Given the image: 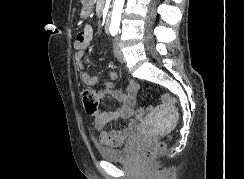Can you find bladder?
<instances>
[{
    "label": "bladder",
    "mask_w": 244,
    "mask_h": 179,
    "mask_svg": "<svg viewBox=\"0 0 244 179\" xmlns=\"http://www.w3.org/2000/svg\"><path fill=\"white\" fill-rule=\"evenodd\" d=\"M99 156L108 161L127 159L131 152L129 142L125 147L118 149H102L99 148Z\"/></svg>",
    "instance_id": "bladder-1"
}]
</instances>
